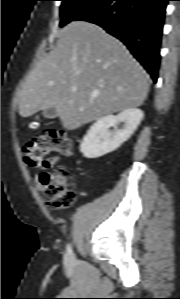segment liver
Instances as JSON below:
<instances>
[{"label":"liver","instance_id":"obj_1","mask_svg":"<svg viewBox=\"0 0 180 299\" xmlns=\"http://www.w3.org/2000/svg\"><path fill=\"white\" fill-rule=\"evenodd\" d=\"M148 89L146 72L118 39L95 24L73 21L27 76L18 92L19 114L54 107L63 127L74 130L141 106Z\"/></svg>","mask_w":180,"mask_h":299}]
</instances>
